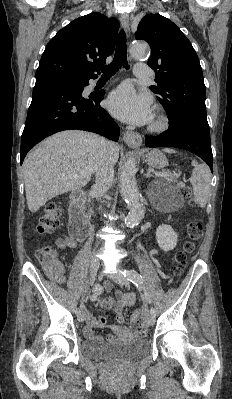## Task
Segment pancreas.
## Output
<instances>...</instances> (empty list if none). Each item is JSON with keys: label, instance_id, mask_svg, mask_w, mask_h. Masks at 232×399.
Masks as SVG:
<instances>
[{"label": "pancreas", "instance_id": "pancreas-1", "mask_svg": "<svg viewBox=\"0 0 232 399\" xmlns=\"http://www.w3.org/2000/svg\"><path fill=\"white\" fill-rule=\"evenodd\" d=\"M160 178H165L168 182H177L178 174H171V172H166L165 176H160ZM90 215H93L92 209H89Z\"/></svg>", "mask_w": 232, "mask_h": 399}]
</instances>
